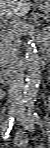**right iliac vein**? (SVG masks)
Returning <instances> with one entry per match:
<instances>
[{
    "label": "right iliac vein",
    "instance_id": "right-iliac-vein-1",
    "mask_svg": "<svg viewBox=\"0 0 50 148\" xmlns=\"http://www.w3.org/2000/svg\"><path fill=\"white\" fill-rule=\"evenodd\" d=\"M18 108L15 105L9 107L8 115L9 117L13 116L17 112Z\"/></svg>",
    "mask_w": 50,
    "mask_h": 148
}]
</instances>
